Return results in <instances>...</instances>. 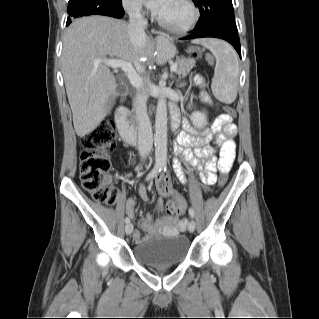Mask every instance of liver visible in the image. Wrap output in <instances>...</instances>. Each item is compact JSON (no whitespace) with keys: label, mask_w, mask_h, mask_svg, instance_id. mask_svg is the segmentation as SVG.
<instances>
[{"label":"liver","mask_w":319,"mask_h":319,"mask_svg":"<svg viewBox=\"0 0 319 319\" xmlns=\"http://www.w3.org/2000/svg\"><path fill=\"white\" fill-rule=\"evenodd\" d=\"M152 53L149 37L141 52L135 50L128 24L117 19L99 15L83 17L67 28L63 39L62 73L78 136H85L101 123L117 88L108 66L95 64L94 60L110 56L135 63ZM158 61L161 62L159 52Z\"/></svg>","instance_id":"obj_1"}]
</instances>
